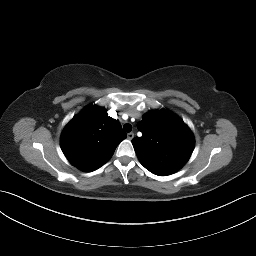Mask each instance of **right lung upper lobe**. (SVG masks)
<instances>
[{"label": "right lung upper lobe", "mask_w": 256, "mask_h": 256, "mask_svg": "<svg viewBox=\"0 0 256 256\" xmlns=\"http://www.w3.org/2000/svg\"><path fill=\"white\" fill-rule=\"evenodd\" d=\"M126 137L120 123L108 117L105 108L90 106L66 125L61 149L71 164L91 172L105 164Z\"/></svg>", "instance_id": "right-lung-upper-lobe-1"}]
</instances>
